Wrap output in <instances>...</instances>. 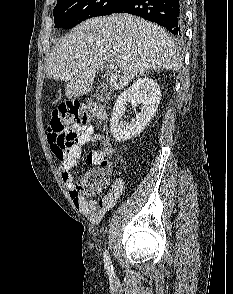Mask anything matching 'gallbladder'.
I'll return each mask as SVG.
<instances>
[{"label":"gallbladder","instance_id":"obj_1","mask_svg":"<svg viewBox=\"0 0 233 294\" xmlns=\"http://www.w3.org/2000/svg\"><path fill=\"white\" fill-rule=\"evenodd\" d=\"M110 95V91L109 88L105 85H99L97 87L96 93H95V97L97 100L99 101H105L108 99Z\"/></svg>","mask_w":233,"mask_h":294}]
</instances>
